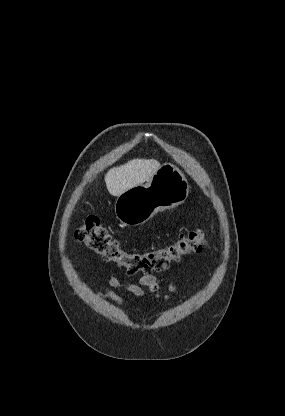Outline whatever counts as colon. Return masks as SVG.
Listing matches in <instances>:
<instances>
[{
  "label": "colon",
  "instance_id": "1",
  "mask_svg": "<svg viewBox=\"0 0 285 416\" xmlns=\"http://www.w3.org/2000/svg\"><path fill=\"white\" fill-rule=\"evenodd\" d=\"M76 238L104 261L116 264L129 275H151L168 269L184 256L201 252L206 246L203 231L196 230L181 236L167 246L147 252L124 250L119 242L100 224L96 217H88L76 231Z\"/></svg>",
  "mask_w": 285,
  "mask_h": 416
}]
</instances>
